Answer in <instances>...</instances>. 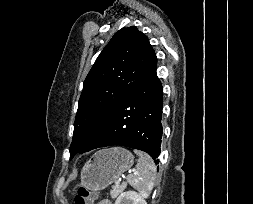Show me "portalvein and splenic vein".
<instances>
[{
    "instance_id": "portal-vein-and-splenic-vein-1",
    "label": "portal vein and splenic vein",
    "mask_w": 253,
    "mask_h": 204,
    "mask_svg": "<svg viewBox=\"0 0 253 204\" xmlns=\"http://www.w3.org/2000/svg\"><path fill=\"white\" fill-rule=\"evenodd\" d=\"M131 172H132V171H131V170H129V173H131ZM119 184H120V181H116V182H115V185H117V186H118Z\"/></svg>"
}]
</instances>
